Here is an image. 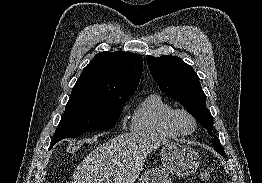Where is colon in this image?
I'll list each match as a JSON object with an SVG mask.
<instances>
[{
    "instance_id": "obj_1",
    "label": "colon",
    "mask_w": 262,
    "mask_h": 183,
    "mask_svg": "<svg viewBox=\"0 0 262 183\" xmlns=\"http://www.w3.org/2000/svg\"><path fill=\"white\" fill-rule=\"evenodd\" d=\"M197 178L200 182L206 183L210 180L211 178V172L209 170H200L197 173Z\"/></svg>"
}]
</instances>
